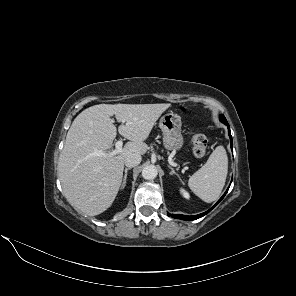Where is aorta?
Masks as SVG:
<instances>
[{"label": "aorta", "mask_w": 296, "mask_h": 296, "mask_svg": "<svg viewBox=\"0 0 296 296\" xmlns=\"http://www.w3.org/2000/svg\"><path fill=\"white\" fill-rule=\"evenodd\" d=\"M158 171L154 165H147L142 170V177L146 180H153L157 177Z\"/></svg>", "instance_id": "762f6f07"}]
</instances>
